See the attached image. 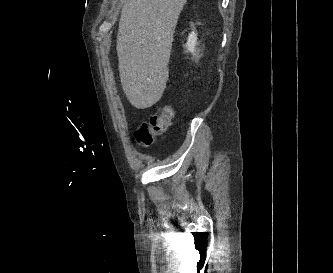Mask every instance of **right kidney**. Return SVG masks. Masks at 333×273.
Returning a JSON list of instances; mask_svg holds the SVG:
<instances>
[{
  "instance_id": "obj_1",
  "label": "right kidney",
  "mask_w": 333,
  "mask_h": 273,
  "mask_svg": "<svg viewBox=\"0 0 333 273\" xmlns=\"http://www.w3.org/2000/svg\"><path fill=\"white\" fill-rule=\"evenodd\" d=\"M196 43H197V35L195 32H191L189 34V37H188V40L186 43V47L191 53L195 52Z\"/></svg>"
}]
</instances>
